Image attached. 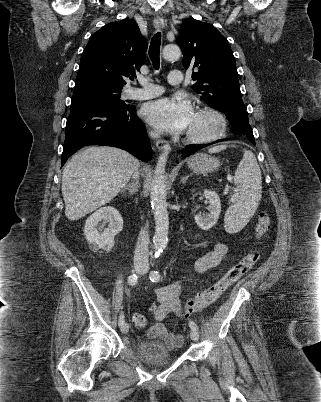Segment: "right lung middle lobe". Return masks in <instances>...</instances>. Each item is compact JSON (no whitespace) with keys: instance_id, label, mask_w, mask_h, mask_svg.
I'll return each instance as SVG.
<instances>
[{"instance_id":"right-lung-middle-lobe-1","label":"right lung middle lobe","mask_w":321,"mask_h":402,"mask_svg":"<svg viewBox=\"0 0 321 402\" xmlns=\"http://www.w3.org/2000/svg\"><path fill=\"white\" fill-rule=\"evenodd\" d=\"M121 90L99 83L76 84L71 106L94 104L112 109L125 108L127 105L120 100Z\"/></svg>"}]
</instances>
